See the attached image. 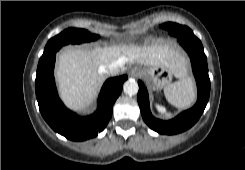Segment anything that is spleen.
Listing matches in <instances>:
<instances>
[{
	"instance_id": "1",
	"label": "spleen",
	"mask_w": 245,
	"mask_h": 170,
	"mask_svg": "<svg viewBox=\"0 0 245 170\" xmlns=\"http://www.w3.org/2000/svg\"><path fill=\"white\" fill-rule=\"evenodd\" d=\"M168 102L178 108L190 107L196 98L194 80L186 77L180 81L169 84L164 89Z\"/></svg>"
}]
</instances>
